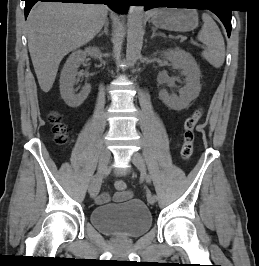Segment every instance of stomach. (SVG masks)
Segmentation results:
<instances>
[{"label": "stomach", "mask_w": 259, "mask_h": 266, "mask_svg": "<svg viewBox=\"0 0 259 266\" xmlns=\"http://www.w3.org/2000/svg\"><path fill=\"white\" fill-rule=\"evenodd\" d=\"M151 22L159 28L170 31L188 32L198 26V14L193 9H156L151 14Z\"/></svg>", "instance_id": "0dacf381"}]
</instances>
